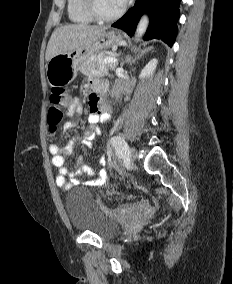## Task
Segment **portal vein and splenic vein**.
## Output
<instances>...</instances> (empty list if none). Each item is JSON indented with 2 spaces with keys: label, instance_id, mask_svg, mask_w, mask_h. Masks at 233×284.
I'll return each mask as SVG.
<instances>
[{
  "label": "portal vein and splenic vein",
  "instance_id": "18ae733b",
  "mask_svg": "<svg viewBox=\"0 0 233 284\" xmlns=\"http://www.w3.org/2000/svg\"><path fill=\"white\" fill-rule=\"evenodd\" d=\"M117 59L115 58V57H111V56H109V57H106L105 59H104V63H117Z\"/></svg>",
  "mask_w": 233,
  "mask_h": 284
}]
</instances>
